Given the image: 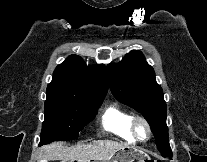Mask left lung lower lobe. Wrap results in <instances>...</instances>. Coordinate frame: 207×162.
Listing matches in <instances>:
<instances>
[{"label": "left lung lower lobe", "mask_w": 207, "mask_h": 162, "mask_svg": "<svg viewBox=\"0 0 207 162\" xmlns=\"http://www.w3.org/2000/svg\"><path fill=\"white\" fill-rule=\"evenodd\" d=\"M165 156H168L170 159H172V153L171 154H167Z\"/></svg>", "instance_id": "1"}]
</instances>
